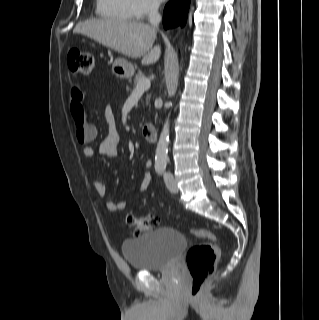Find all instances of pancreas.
<instances>
[{
	"label": "pancreas",
	"instance_id": "pancreas-1",
	"mask_svg": "<svg viewBox=\"0 0 319 320\" xmlns=\"http://www.w3.org/2000/svg\"><path fill=\"white\" fill-rule=\"evenodd\" d=\"M144 77H145V76H144V74H143L142 72H138V73L135 75L133 81H130V83H133V85L136 86L137 83H138V81H139L140 79L144 78ZM149 103H150V95H147V96H146V104L149 105Z\"/></svg>",
	"mask_w": 319,
	"mask_h": 320
}]
</instances>
